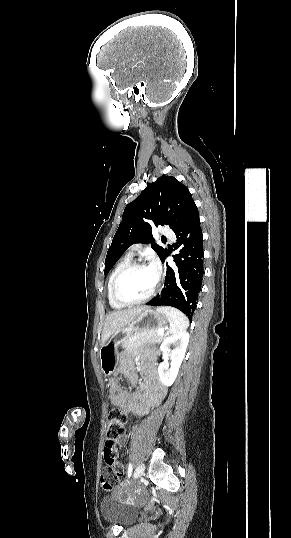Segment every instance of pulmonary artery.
Instances as JSON below:
<instances>
[{"mask_svg": "<svg viewBox=\"0 0 291 538\" xmlns=\"http://www.w3.org/2000/svg\"><path fill=\"white\" fill-rule=\"evenodd\" d=\"M162 235L170 240H174L175 239V234L173 231L169 230V229H164L162 230ZM141 248L140 245H134L132 246L129 251H128V255L130 256H134L138 251L139 249Z\"/></svg>", "mask_w": 291, "mask_h": 538, "instance_id": "e3ab8cb5", "label": "pulmonary artery"}]
</instances>
